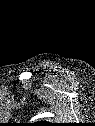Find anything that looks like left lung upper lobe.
<instances>
[{"mask_svg":"<svg viewBox=\"0 0 95 126\" xmlns=\"http://www.w3.org/2000/svg\"><path fill=\"white\" fill-rule=\"evenodd\" d=\"M36 126H50V123H37Z\"/></svg>","mask_w":95,"mask_h":126,"instance_id":"obj_1","label":"left lung upper lobe"}]
</instances>
